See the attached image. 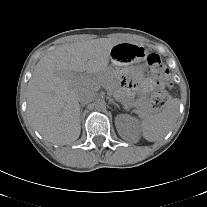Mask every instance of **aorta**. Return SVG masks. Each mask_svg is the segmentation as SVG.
Returning a JSON list of instances; mask_svg holds the SVG:
<instances>
[{"label": "aorta", "instance_id": "762f6f07", "mask_svg": "<svg viewBox=\"0 0 207 207\" xmlns=\"http://www.w3.org/2000/svg\"><path fill=\"white\" fill-rule=\"evenodd\" d=\"M95 108L98 110H104L106 108V102L104 99H98L95 101Z\"/></svg>", "mask_w": 207, "mask_h": 207}]
</instances>
